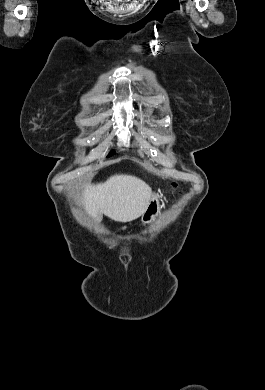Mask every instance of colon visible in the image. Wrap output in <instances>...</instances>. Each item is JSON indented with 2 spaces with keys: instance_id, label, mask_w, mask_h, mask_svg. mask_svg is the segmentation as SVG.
Here are the masks:
<instances>
[{
  "instance_id": "1",
  "label": "colon",
  "mask_w": 265,
  "mask_h": 390,
  "mask_svg": "<svg viewBox=\"0 0 265 390\" xmlns=\"http://www.w3.org/2000/svg\"><path fill=\"white\" fill-rule=\"evenodd\" d=\"M172 185H173L174 187H176V183H173Z\"/></svg>"
}]
</instances>
